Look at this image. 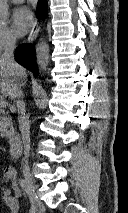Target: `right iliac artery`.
<instances>
[{"label": "right iliac artery", "instance_id": "obj_1", "mask_svg": "<svg viewBox=\"0 0 128 213\" xmlns=\"http://www.w3.org/2000/svg\"><path fill=\"white\" fill-rule=\"evenodd\" d=\"M19 184H20L21 188H22L27 194H29V191H28V189H27V185H26L25 180L22 179V178H20V179H19Z\"/></svg>", "mask_w": 128, "mask_h": 213}]
</instances>
